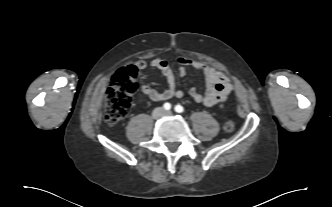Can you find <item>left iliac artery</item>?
Instances as JSON below:
<instances>
[{
    "mask_svg": "<svg viewBox=\"0 0 332 207\" xmlns=\"http://www.w3.org/2000/svg\"><path fill=\"white\" fill-rule=\"evenodd\" d=\"M174 110L177 113H183L184 112V108L181 105H176Z\"/></svg>",
    "mask_w": 332,
    "mask_h": 207,
    "instance_id": "44dca946",
    "label": "left iliac artery"
}]
</instances>
